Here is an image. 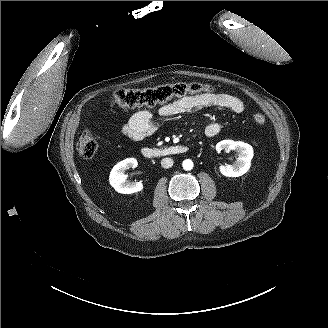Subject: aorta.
<instances>
[{"label":"aorta","mask_w":328,"mask_h":328,"mask_svg":"<svg viewBox=\"0 0 328 328\" xmlns=\"http://www.w3.org/2000/svg\"><path fill=\"white\" fill-rule=\"evenodd\" d=\"M182 167L184 170L189 171L193 168V162L190 159H185L182 163Z\"/></svg>","instance_id":"762f6f07"}]
</instances>
